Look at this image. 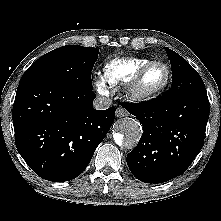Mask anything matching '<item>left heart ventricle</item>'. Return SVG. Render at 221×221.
<instances>
[{
	"instance_id": "1",
	"label": "left heart ventricle",
	"mask_w": 221,
	"mask_h": 221,
	"mask_svg": "<svg viewBox=\"0 0 221 221\" xmlns=\"http://www.w3.org/2000/svg\"><path fill=\"white\" fill-rule=\"evenodd\" d=\"M166 78V70L163 66L157 65L151 68L143 78L142 85L145 89L159 87Z\"/></svg>"
}]
</instances>
